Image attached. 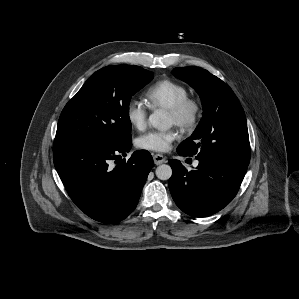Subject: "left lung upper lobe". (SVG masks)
I'll list each match as a JSON object with an SVG mask.
<instances>
[{"label":"left lung upper lobe","instance_id":"left-lung-upper-lobe-1","mask_svg":"<svg viewBox=\"0 0 299 299\" xmlns=\"http://www.w3.org/2000/svg\"><path fill=\"white\" fill-rule=\"evenodd\" d=\"M173 75L199 94L203 117L193 134L177 148L197 160L248 166L250 143L244 110L231 88L199 67H179Z\"/></svg>","mask_w":299,"mask_h":299}]
</instances>
